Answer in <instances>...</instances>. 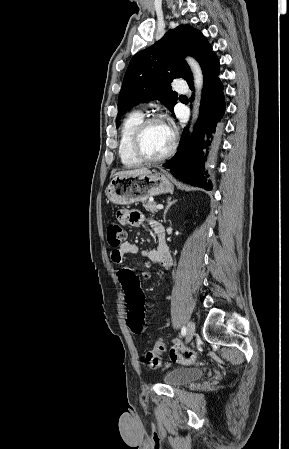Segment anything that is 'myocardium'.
<instances>
[{"mask_svg":"<svg viewBox=\"0 0 289 449\" xmlns=\"http://www.w3.org/2000/svg\"><path fill=\"white\" fill-rule=\"evenodd\" d=\"M156 122L163 123L169 128V130L171 131L172 140H171L170 147L164 154H162L158 157H150V156L146 155L145 152L143 151L142 137H143V134H144L145 130L147 129V127L149 125H151L152 123H156ZM176 147H177V132L173 128V126L169 123V121L166 119V117L161 114H154V115L144 118L140 122V124L137 126V128L135 129L133 137H132V149H133L134 155L142 162L156 163V162L164 161V160L168 159L170 156H172V154L176 150Z\"/></svg>","mask_w":289,"mask_h":449,"instance_id":"f54148a6","label":"myocardium"}]
</instances>
